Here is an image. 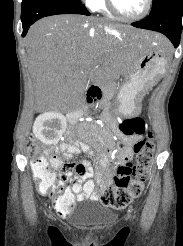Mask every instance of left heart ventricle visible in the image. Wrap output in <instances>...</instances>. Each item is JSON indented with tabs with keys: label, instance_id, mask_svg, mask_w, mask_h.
I'll use <instances>...</instances> for the list:
<instances>
[{
	"label": "left heart ventricle",
	"instance_id": "obj_1",
	"mask_svg": "<svg viewBox=\"0 0 183 246\" xmlns=\"http://www.w3.org/2000/svg\"><path fill=\"white\" fill-rule=\"evenodd\" d=\"M118 10L125 16H137L145 8L146 0H114Z\"/></svg>",
	"mask_w": 183,
	"mask_h": 246
}]
</instances>
